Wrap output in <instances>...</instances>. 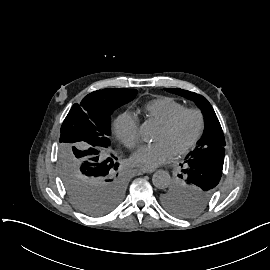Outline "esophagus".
<instances>
[{"instance_id": "obj_1", "label": "esophagus", "mask_w": 270, "mask_h": 270, "mask_svg": "<svg viewBox=\"0 0 270 270\" xmlns=\"http://www.w3.org/2000/svg\"><path fill=\"white\" fill-rule=\"evenodd\" d=\"M140 171L142 173H152L155 171V168L154 167H145V168H141Z\"/></svg>"}]
</instances>
